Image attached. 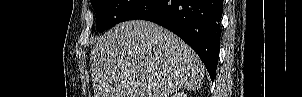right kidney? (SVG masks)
Instances as JSON below:
<instances>
[{
  "mask_svg": "<svg viewBox=\"0 0 302 97\" xmlns=\"http://www.w3.org/2000/svg\"><path fill=\"white\" fill-rule=\"evenodd\" d=\"M173 97H187V95L185 93L181 92V93H175L173 95Z\"/></svg>",
  "mask_w": 302,
  "mask_h": 97,
  "instance_id": "right-kidney-1",
  "label": "right kidney"
}]
</instances>
